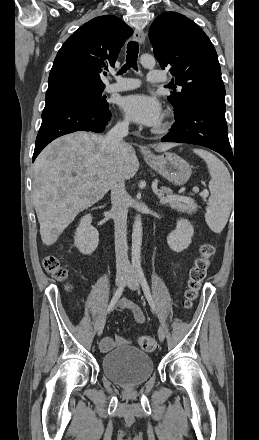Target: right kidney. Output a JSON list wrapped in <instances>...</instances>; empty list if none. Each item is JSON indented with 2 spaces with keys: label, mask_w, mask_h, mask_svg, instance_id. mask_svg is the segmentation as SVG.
<instances>
[{
  "label": "right kidney",
  "mask_w": 259,
  "mask_h": 440,
  "mask_svg": "<svg viewBox=\"0 0 259 440\" xmlns=\"http://www.w3.org/2000/svg\"><path fill=\"white\" fill-rule=\"evenodd\" d=\"M91 222V214L83 216L75 232L74 245L83 255H91L99 243V232Z\"/></svg>",
  "instance_id": "1"
}]
</instances>
